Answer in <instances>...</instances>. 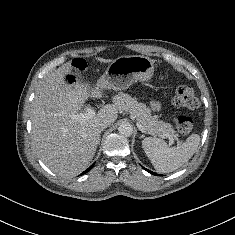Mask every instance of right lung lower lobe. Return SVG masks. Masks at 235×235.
I'll return each instance as SVG.
<instances>
[{
	"mask_svg": "<svg viewBox=\"0 0 235 235\" xmlns=\"http://www.w3.org/2000/svg\"><path fill=\"white\" fill-rule=\"evenodd\" d=\"M93 166H94V163L88 169H86L81 175L87 173Z\"/></svg>",
	"mask_w": 235,
	"mask_h": 235,
	"instance_id": "98d812e1",
	"label": "right lung lower lobe"
}]
</instances>
